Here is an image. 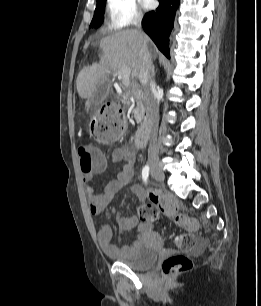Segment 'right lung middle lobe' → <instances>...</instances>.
<instances>
[{
  "instance_id": "right-lung-middle-lobe-1",
  "label": "right lung middle lobe",
  "mask_w": 261,
  "mask_h": 306,
  "mask_svg": "<svg viewBox=\"0 0 261 306\" xmlns=\"http://www.w3.org/2000/svg\"><path fill=\"white\" fill-rule=\"evenodd\" d=\"M105 2H106V0H97V6H96V9H95V14H94V17L92 19L90 27L97 28L102 24L103 19H104L103 14H104Z\"/></svg>"
}]
</instances>
